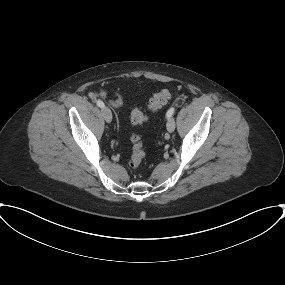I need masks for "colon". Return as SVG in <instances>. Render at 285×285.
<instances>
[{"label":"colon","mask_w":285,"mask_h":285,"mask_svg":"<svg viewBox=\"0 0 285 285\" xmlns=\"http://www.w3.org/2000/svg\"><path fill=\"white\" fill-rule=\"evenodd\" d=\"M171 90L162 89L155 93L149 101L148 108L150 113H155L159 111L170 99ZM130 120L133 124H142L149 120V115L143 113L140 110H132L130 113ZM131 143V156L129 159V165L132 168H137L141 165L144 157L145 151L143 144L138 135H132L130 138Z\"/></svg>","instance_id":"5ec220e1"}]
</instances>
